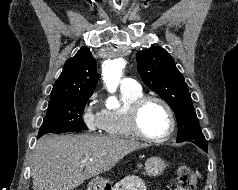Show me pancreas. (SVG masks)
<instances>
[{
    "label": "pancreas",
    "instance_id": "cf45deb5",
    "mask_svg": "<svg viewBox=\"0 0 238 190\" xmlns=\"http://www.w3.org/2000/svg\"><path fill=\"white\" fill-rule=\"evenodd\" d=\"M111 190H147V187L142 179L131 176L117 182Z\"/></svg>",
    "mask_w": 238,
    "mask_h": 190
}]
</instances>
